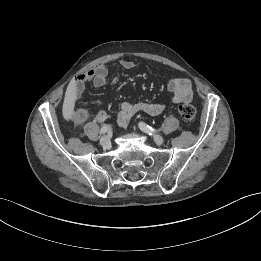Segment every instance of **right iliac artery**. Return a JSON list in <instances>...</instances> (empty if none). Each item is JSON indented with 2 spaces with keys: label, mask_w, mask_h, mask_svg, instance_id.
<instances>
[{
  "label": "right iliac artery",
  "mask_w": 261,
  "mask_h": 261,
  "mask_svg": "<svg viewBox=\"0 0 261 261\" xmlns=\"http://www.w3.org/2000/svg\"><path fill=\"white\" fill-rule=\"evenodd\" d=\"M111 129V126L110 125H104L102 126V128L100 129V134H105L107 132H109Z\"/></svg>",
  "instance_id": "right-iliac-artery-1"
}]
</instances>
